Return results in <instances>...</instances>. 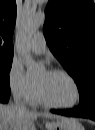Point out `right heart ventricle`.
<instances>
[{
    "instance_id": "obj_1",
    "label": "right heart ventricle",
    "mask_w": 95,
    "mask_h": 130,
    "mask_svg": "<svg viewBox=\"0 0 95 130\" xmlns=\"http://www.w3.org/2000/svg\"><path fill=\"white\" fill-rule=\"evenodd\" d=\"M34 104H42L41 101L38 98L37 91H35L32 99L30 100Z\"/></svg>"
}]
</instances>
